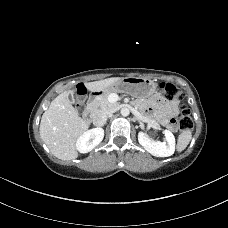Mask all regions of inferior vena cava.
I'll return each mask as SVG.
<instances>
[{"label": "inferior vena cava", "instance_id": "obj_1", "mask_svg": "<svg viewBox=\"0 0 228 228\" xmlns=\"http://www.w3.org/2000/svg\"><path fill=\"white\" fill-rule=\"evenodd\" d=\"M114 111H106V112H99L93 117V124L95 126H103L107 118L113 113Z\"/></svg>", "mask_w": 228, "mask_h": 228}]
</instances>
